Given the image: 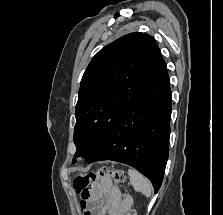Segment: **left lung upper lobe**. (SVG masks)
<instances>
[{
    "label": "left lung upper lobe",
    "instance_id": "5c2ea615",
    "mask_svg": "<svg viewBox=\"0 0 223 215\" xmlns=\"http://www.w3.org/2000/svg\"><path fill=\"white\" fill-rule=\"evenodd\" d=\"M163 64L154 38L138 32L115 40L93 57L75 109V157L88 161L96 153Z\"/></svg>",
    "mask_w": 223,
    "mask_h": 215
}]
</instances>
